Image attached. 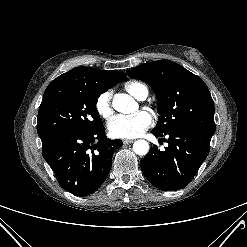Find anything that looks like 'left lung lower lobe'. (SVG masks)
Listing matches in <instances>:
<instances>
[{
	"label": "left lung lower lobe",
	"mask_w": 247,
	"mask_h": 247,
	"mask_svg": "<svg viewBox=\"0 0 247 247\" xmlns=\"http://www.w3.org/2000/svg\"><path fill=\"white\" fill-rule=\"evenodd\" d=\"M152 133L156 137L167 135L169 145L164 151L155 145L140 162L145 177L160 190L184 188L206 159L212 136L190 128H178L165 134Z\"/></svg>",
	"instance_id": "left-lung-lower-lobe-1"
}]
</instances>
